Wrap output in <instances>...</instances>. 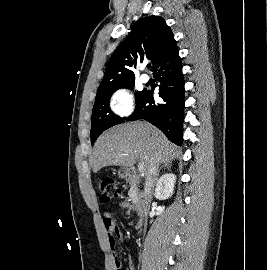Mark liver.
<instances>
[{
    "label": "liver",
    "instance_id": "liver-1",
    "mask_svg": "<svg viewBox=\"0 0 267 270\" xmlns=\"http://www.w3.org/2000/svg\"><path fill=\"white\" fill-rule=\"evenodd\" d=\"M180 155L179 148L151 124L123 123L112 127L98 138L94 146L92 168L94 173L106 166L128 168L139 157L144 170L148 172L154 158L159 163H165Z\"/></svg>",
    "mask_w": 267,
    "mask_h": 270
}]
</instances>
